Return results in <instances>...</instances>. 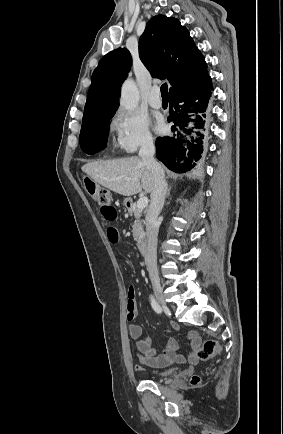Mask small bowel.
Instances as JSON below:
<instances>
[{
  "label": "small bowel",
  "mask_w": 283,
  "mask_h": 434,
  "mask_svg": "<svg viewBox=\"0 0 283 434\" xmlns=\"http://www.w3.org/2000/svg\"><path fill=\"white\" fill-rule=\"evenodd\" d=\"M100 213L102 217L107 221H114L117 218V209L111 204L106 206H100ZM107 238L111 243H116L119 240V232L115 227H110L107 230ZM126 315L129 322V334L134 341V349L140 360L144 365L164 368L173 363L183 364L186 362V357L182 354H177L178 342L174 338L166 340L161 352H157L151 345L149 337L143 335L142 327L135 323L137 316V304L135 300V289L129 287L127 291V304ZM174 330H178L179 326L176 323H172ZM187 339L192 348V352L188 356V360L196 364L199 361L197 357V349L201 344V338L195 331H189Z\"/></svg>",
  "instance_id": "1"
}]
</instances>
